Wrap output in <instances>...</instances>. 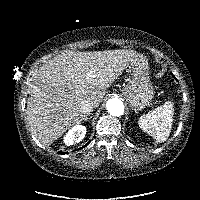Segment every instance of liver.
Returning <instances> with one entry per match:
<instances>
[{
	"label": "liver",
	"mask_w": 200,
	"mask_h": 200,
	"mask_svg": "<svg viewBox=\"0 0 200 200\" xmlns=\"http://www.w3.org/2000/svg\"><path fill=\"white\" fill-rule=\"evenodd\" d=\"M140 55L129 49L66 51L48 60L35 73L26 115L32 134L51 145L84 117L85 100L98 107L105 90Z\"/></svg>",
	"instance_id": "1"
}]
</instances>
